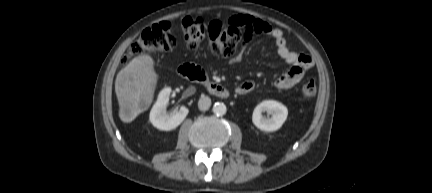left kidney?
<instances>
[{"mask_svg": "<svg viewBox=\"0 0 432 193\" xmlns=\"http://www.w3.org/2000/svg\"><path fill=\"white\" fill-rule=\"evenodd\" d=\"M271 115L269 118L262 116V112ZM288 116V109L282 103L275 100H265L258 104L252 115L253 124L265 132H273L281 128Z\"/></svg>", "mask_w": 432, "mask_h": 193, "instance_id": "1", "label": "left kidney"}]
</instances>
